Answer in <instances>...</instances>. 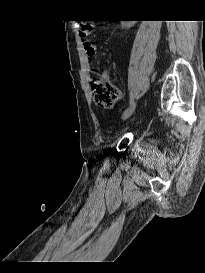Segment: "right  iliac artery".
<instances>
[{
    "label": "right iliac artery",
    "instance_id": "right-iliac-artery-1",
    "mask_svg": "<svg viewBox=\"0 0 205 273\" xmlns=\"http://www.w3.org/2000/svg\"><path fill=\"white\" fill-rule=\"evenodd\" d=\"M130 105L134 103V97L133 94H130V100H129Z\"/></svg>",
    "mask_w": 205,
    "mask_h": 273
}]
</instances>
